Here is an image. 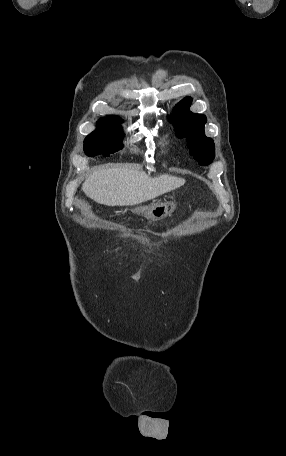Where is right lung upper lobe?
I'll return each instance as SVG.
<instances>
[{
	"mask_svg": "<svg viewBox=\"0 0 286 456\" xmlns=\"http://www.w3.org/2000/svg\"><path fill=\"white\" fill-rule=\"evenodd\" d=\"M108 118H111V119H114V120L121 121V119H120L119 117H116V116H108Z\"/></svg>",
	"mask_w": 286,
	"mask_h": 456,
	"instance_id": "obj_1",
	"label": "right lung upper lobe"
}]
</instances>
